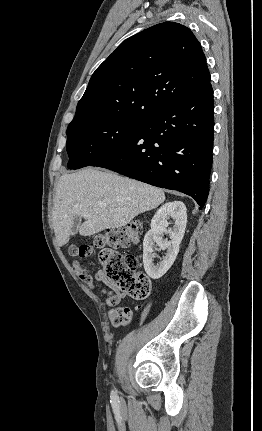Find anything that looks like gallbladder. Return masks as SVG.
Wrapping results in <instances>:
<instances>
[{
  "instance_id": "gallbladder-1",
  "label": "gallbladder",
  "mask_w": 262,
  "mask_h": 431,
  "mask_svg": "<svg viewBox=\"0 0 262 431\" xmlns=\"http://www.w3.org/2000/svg\"><path fill=\"white\" fill-rule=\"evenodd\" d=\"M82 218L80 216H76L73 219L72 228H71V235L74 236L78 233L79 227L81 224Z\"/></svg>"
}]
</instances>
